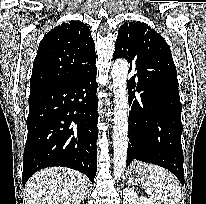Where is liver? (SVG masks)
Segmentation results:
<instances>
[{"label":"liver","mask_w":206,"mask_h":204,"mask_svg":"<svg viewBox=\"0 0 206 204\" xmlns=\"http://www.w3.org/2000/svg\"><path fill=\"white\" fill-rule=\"evenodd\" d=\"M88 179L65 167L45 168L26 184L28 204H80L87 193Z\"/></svg>","instance_id":"6515ba94"}]
</instances>
